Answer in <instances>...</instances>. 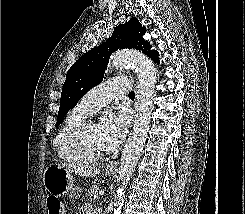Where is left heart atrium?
Returning <instances> with one entry per match:
<instances>
[{"mask_svg": "<svg viewBox=\"0 0 245 214\" xmlns=\"http://www.w3.org/2000/svg\"><path fill=\"white\" fill-rule=\"evenodd\" d=\"M128 125V117L123 112L106 114L102 118L97 125V132L106 151L115 150L122 143Z\"/></svg>", "mask_w": 245, "mask_h": 214, "instance_id": "39dd6f15", "label": "left heart atrium"}]
</instances>
